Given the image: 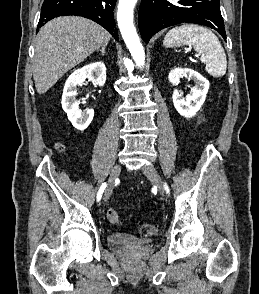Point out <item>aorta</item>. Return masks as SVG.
I'll list each match as a JSON object with an SVG mask.
<instances>
[{"label":"aorta","instance_id":"762f6f07","mask_svg":"<svg viewBox=\"0 0 259 294\" xmlns=\"http://www.w3.org/2000/svg\"><path fill=\"white\" fill-rule=\"evenodd\" d=\"M137 0H119L117 21L121 35L138 66L145 63V53L133 23V9Z\"/></svg>","mask_w":259,"mask_h":294}]
</instances>
